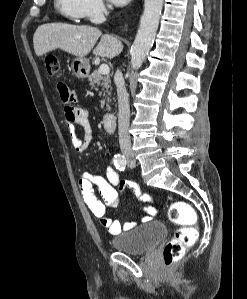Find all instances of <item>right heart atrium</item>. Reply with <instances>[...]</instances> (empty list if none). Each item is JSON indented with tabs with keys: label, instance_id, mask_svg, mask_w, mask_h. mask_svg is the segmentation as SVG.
Wrapping results in <instances>:
<instances>
[{
	"label": "right heart atrium",
	"instance_id": "right-heart-atrium-1",
	"mask_svg": "<svg viewBox=\"0 0 247 299\" xmlns=\"http://www.w3.org/2000/svg\"><path fill=\"white\" fill-rule=\"evenodd\" d=\"M82 17L91 21H100L108 12V5L105 0H81Z\"/></svg>",
	"mask_w": 247,
	"mask_h": 299
}]
</instances>
